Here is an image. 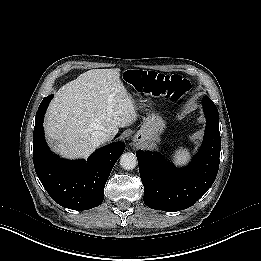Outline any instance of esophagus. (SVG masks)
Listing matches in <instances>:
<instances>
[{"label":"esophagus","instance_id":"esophagus-1","mask_svg":"<svg viewBox=\"0 0 261 261\" xmlns=\"http://www.w3.org/2000/svg\"><path fill=\"white\" fill-rule=\"evenodd\" d=\"M132 145H133L134 147H136V146H138V142H136V141L134 140V142L132 143Z\"/></svg>","mask_w":261,"mask_h":261}]
</instances>
